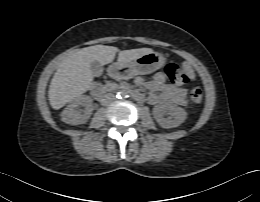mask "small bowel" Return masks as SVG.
I'll return each instance as SVG.
<instances>
[{"mask_svg":"<svg viewBox=\"0 0 260 202\" xmlns=\"http://www.w3.org/2000/svg\"><path fill=\"white\" fill-rule=\"evenodd\" d=\"M134 81L137 85L145 86L150 90V94L145 97L149 104L171 102L182 106L186 105V90L169 84L162 73H157L150 81H145L140 76H136Z\"/></svg>","mask_w":260,"mask_h":202,"instance_id":"obj_1","label":"small bowel"}]
</instances>
